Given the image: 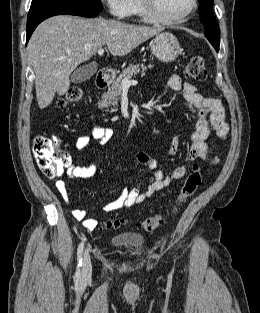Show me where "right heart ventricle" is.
I'll list each match as a JSON object with an SVG mask.
<instances>
[{
    "label": "right heart ventricle",
    "instance_id": "right-heart-ventricle-1",
    "mask_svg": "<svg viewBox=\"0 0 260 313\" xmlns=\"http://www.w3.org/2000/svg\"><path fill=\"white\" fill-rule=\"evenodd\" d=\"M132 13L138 15L143 21H146V22L150 21L143 13L139 0H134Z\"/></svg>",
    "mask_w": 260,
    "mask_h": 313
}]
</instances>
